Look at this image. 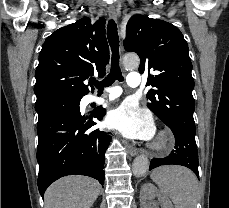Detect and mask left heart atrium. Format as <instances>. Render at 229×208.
<instances>
[{"label":"left heart atrium","mask_w":229,"mask_h":208,"mask_svg":"<svg viewBox=\"0 0 229 208\" xmlns=\"http://www.w3.org/2000/svg\"><path fill=\"white\" fill-rule=\"evenodd\" d=\"M108 128L116 129L132 139L149 140L154 134L150 112L135 101L127 100L113 109L106 118Z\"/></svg>","instance_id":"left-heart-atrium-1"}]
</instances>
